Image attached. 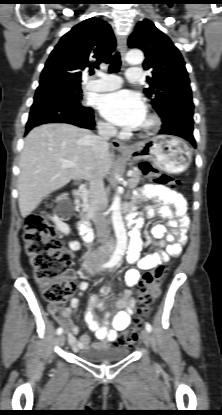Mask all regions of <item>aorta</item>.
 Segmentation results:
<instances>
[{"mask_svg":"<svg viewBox=\"0 0 222 415\" xmlns=\"http://www.w3.org/2000/svg\"><path fill=\"white\" fill-rule=\"evenodd\" d=\"M144 55L140 50H131L126 54V61L130 65H139L143 62ZM120 179L119 176H117ZM111 219L117 240L115 251L111 258L112 264H117L127 249V232L121 214V198L119 196V189L114 196L111 205Z\"/></svg>","mask_w":222,"mask_h":415,"instance_id":"aorta-1","label":"aorta"}]
</instances>
